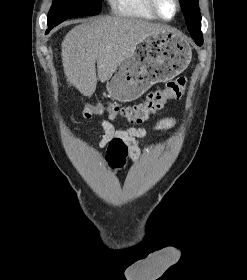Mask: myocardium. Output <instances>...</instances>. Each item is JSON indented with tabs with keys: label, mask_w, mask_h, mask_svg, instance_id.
I'll return each instance as SVG.
<instances>
[{
	"label": "myocardium",
	"mask_w": 247,
	"mask_h": 280,
	"mask_svg": "<svg viewBox=\"0 0 247 280\" xmlns=\"http://www.w3.org/2000/svg\"><path fill=\"white\" fill-rule=\"evenodd\" d=\"M174 3H175V13H174V15L171 18H165L159 12L157 0H149L151 10L153 11V13L155 14V16L158 19L163 20V21H172L178 15V13L180 11V0H174Z\"/></svg>",
	"instance_id": "f54148a6"
}]
</instances>
